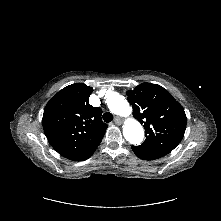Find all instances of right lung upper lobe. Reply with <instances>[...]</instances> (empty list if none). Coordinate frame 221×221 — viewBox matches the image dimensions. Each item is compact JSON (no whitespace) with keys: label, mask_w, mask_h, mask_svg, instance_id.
<instances>
[{"label":"right lung upper lobe","mask_w":221,"mask_h":221,"mask_svg":"<svg viewBox=\"0 0 221 221\" xmlns=\"http://www.w3.org/2000/svg\"><path fill=\"white\" fill-rule=\"evenodd\" d=\"M93 88L77 83L60 90L44 108L42 125L52 147L61 156L81 161L104 137L100 107L89 104Z\"/></svg>","instance_id":"obj_1"}]
</instances>
